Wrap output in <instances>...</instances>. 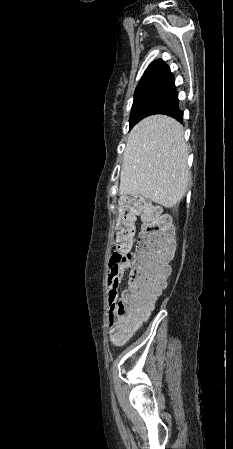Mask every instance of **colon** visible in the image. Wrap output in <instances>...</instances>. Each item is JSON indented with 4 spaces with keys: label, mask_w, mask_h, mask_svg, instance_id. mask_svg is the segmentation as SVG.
Listing matches in <instances>:
<instances>
[{
    "label": "colon",
    "mask_w": 233,
    "mask_h": 449,
    "mask_svg": "<svg viewBox=\"0 0 233 449\" xmlns=\"http://www.w3.org/2000/svg\"><path fill=\"white\" fill-rule=\"evenodd\" d=\"M114 249L111 263L130 262L132 271L129 287L123 300L116 304L110 317L114 324L113 336L117 343L129 337L132 329L148 312L154 299L163 289L169 275L175 240L169 218L161 207L136 196L119 200ZM142 220L138 242L135 219Z\"/></svg>",
    "instance_id": "colon-1"
}]
</instances>
